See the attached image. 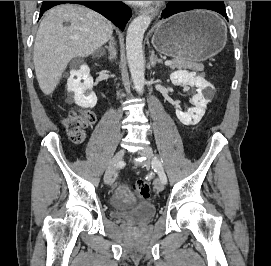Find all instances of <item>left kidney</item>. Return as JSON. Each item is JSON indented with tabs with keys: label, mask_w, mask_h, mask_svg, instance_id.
I'll list each match as a JSON object with an SVG mask.
<instances>
[{
	"label": "left kidney",
	"mask_w": 271,
	"mask_h": 266,
	"mask_svg": "<svg viewBox=\"0 0 271 266\" xmlns=\"http://www.w3.org/2000/svg\"><path fill=\"white\" fill-rule=\"evenodd\" d=\"M170 80L174 85L183 84L197 88V94L191 100L194 108L189 109L187 112L176 109V116L184 125L199 123L205 114L207 103L211 100V96L205 97L202 91L206 90L208 94L213 91V86L201 76H197L195 72H188L186 70L173 72L170 75Z\"/></svg>",
	"instance_id": "1"
}]
</instances>
